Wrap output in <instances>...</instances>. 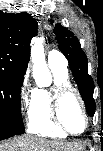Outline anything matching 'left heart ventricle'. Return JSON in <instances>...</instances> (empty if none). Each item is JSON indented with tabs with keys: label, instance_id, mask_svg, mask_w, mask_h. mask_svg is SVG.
<instances>
[{
	"label": "left heart ventricle",
	"instance_id": "1",
	"mask_svg": "<svg viewBox=\"0 0 103 151\" xmlns=\"http://www.w3.org/2000/svg\"><path fill=\"white\" fill-rule=\"evenodd\" d=\"M61 119L74 132H80L85 125L83 110L78 99L69 94L65 96L61 105Z\"/></svg>",
	"mask_w": 103,
	"mask_h": 151
}]
</instances>
